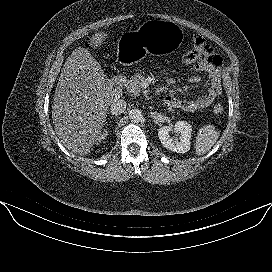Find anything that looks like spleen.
Instances as JSON below:
<instances>
[{
	"label": "spleen",
	"instance_id": "spleen-1",
	"mask_svg": "<svg viewBox=\"0 0 272 272\" xmlns=\"http://www.w3.org/2000/svg\"><path fill=\"white\" fill-rule=\"evenodd\" d=\"M219 131L213 125L203 126L199 129L195 143L196 155L206 154L217 142L219 138Z\"/></svg>",
	"mask_w": 272,
	"mask_h": 272
}]
</instances>
